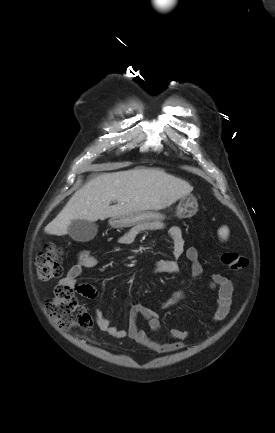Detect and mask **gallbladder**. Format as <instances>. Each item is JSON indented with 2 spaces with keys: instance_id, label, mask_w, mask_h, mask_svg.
I'll use <instances>...</instances> for the list:
<instances>
[{
  "instance_id": "obj_1",
  "label": "gallbladder",
  "mask_w": 275,
  "mask_h": 433,
  "mask_svg": "<svg viewBox=\"0 0 275 433\" xmlns=\"http://www.w3.org/2000/svg\"><path fill=\"white\" fill-rule=\"evenodd\" d=\"M97 225L87 220H73L68 226L69 236L78 242H88L97 234Z\"/></svg>"
}]
</instances>
